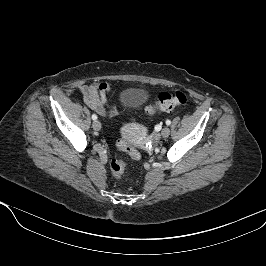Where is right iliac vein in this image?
<instances>
[{
  "label": "right iliac vein",
  "mask_w": 266,
  "mask_h": 266,
  "mask_svg": "<svg viewBox=\"0 0 266 266\" xmlns=\"http://www.w3.org/2000/svg\"><path fill=\"white\" fill-rule=\"evenodd\" d=\"M94 130L99 131L101 129V123L98 120H95L92 124Z\"/></svg>",
  "instance_id": "obj_1"
}]
</instances>
